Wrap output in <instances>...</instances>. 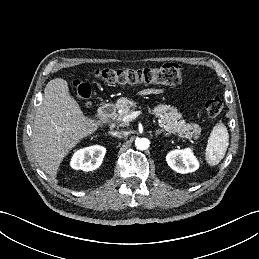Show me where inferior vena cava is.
Listing matches in <instances>:
<instances>
[{
  "label": "inferior vena cava",
  "mask_w": 259,
  "mask_h": 259,
  "mask_svg": "<svg viewBox=\"0 0 259 259\" xmlns=\"http://www.w3.org/2000/svg\"><path fill=\"white\" fill-rule=\"evenodd\" d=\"M110 134L118 138H123L126 135L124 131H111Z\"/></svg>",
  "instance_id": "obj_1"
}]
</instances>
